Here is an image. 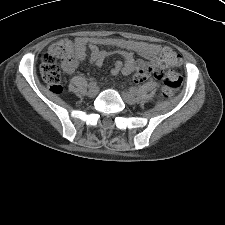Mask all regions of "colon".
I'll return each instance as SVG.
<instances>
[{
  "label": "colon",
  "mask_w": 225,
  "mask_h": 225,
  "mask_svg": "<svg viewBox=\"0 0 225 225\" xmlns=\"http://www.w3.org/2000/svg\"><path fill=\"white\" fill-rule=\"evenodd\" d=\"M76 61L73 42L62 39L52 45L41 58L40 74L48 88L54 93L63 89L64 74L62 67ZM180 56L172 49H164L157 64L142 63L133 75L132 81L142 83L153 76L162 81L161 98L169 100L182 86V77L172 71L179 65Z\"/></svg>",
  "instance_id": "1"
}]
</instances>
